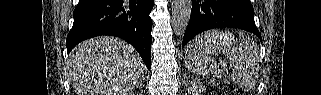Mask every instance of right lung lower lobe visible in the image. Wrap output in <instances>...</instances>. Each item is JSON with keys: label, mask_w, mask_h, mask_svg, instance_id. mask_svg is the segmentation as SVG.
<instances>
[{"label": "right lung lower lobe", "mask_w": 321, "mask_h": 95, "mask_svg": "<svg viewBox=\"0 0 321 95\" xmlns=\"http://www.w3.org/2000/svg\"><path fill=\"white\" fill-rule=\"evenodd\" d=\"M153 5L154 0H79L66 40L68 53L83 40L111 35L130 43L150 69Z\"/></svg>", "instance_id": "obj_1"}]
</instances>
